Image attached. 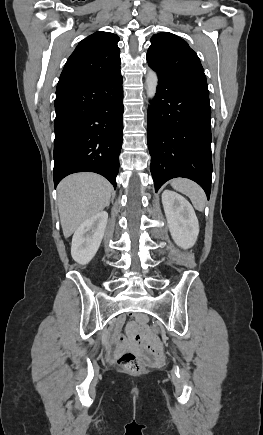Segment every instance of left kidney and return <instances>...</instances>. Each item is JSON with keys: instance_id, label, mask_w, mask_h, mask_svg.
<instances>
[{"instance_id": "left-kidney-1", "label": "left kidney", "mask_w": 263, "mask_h": 435, "mask_svg": "<svg viewBox=\"0 0 263 435\" xmlns=\"http://www.w3.org/2000/svg\"><path fill=\"white\" fill-rule=\"evenodd\" d=\"M162 203L174 242L184 249L194 246L199 234V223L191 204L171 190L163 191Z\"/></svg>"}]
</instances>
